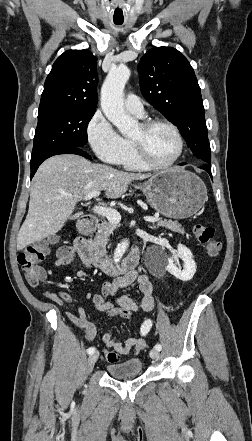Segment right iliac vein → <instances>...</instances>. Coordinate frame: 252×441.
<instances>
[{
  "mask_svg": "<svg viewBox=\"0 0 252 441\" xmlns=\"http://www.w3.org/2000/svg\"><path fill=\"white\" fill-rule=\"evenodd\" d=\"M98 357H99V353H93V354H91L89 356V358H88V368L90 370L94 367L96 361L98 360Z\"/></svg>",
  "mask_w": 252,
  "mask_h": 441,
  "instance_id": "right-iliac-vein-1",
  "label": "right iliac vein"
}]
</instances>
